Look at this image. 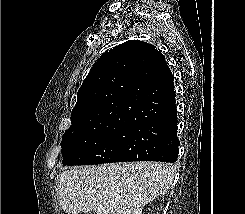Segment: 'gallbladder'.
I'll return each mask as SVG.
<instances>
[{
	"instance_id": "obj_1",
	"label": "gallbladder",
	"mask_w": 245,
	"mask_h": 214,
	"mask_svg": "<svg viewBox=\"0 0 245 214\" xmlns=\"http://www.w3.org/2000/svg\"><path fill=\"white\" fill-rule=\"evenodd\" d=\"M84 214H96V212H94V211H88V212H85Z\"/></svg>"
}]
</instances>
